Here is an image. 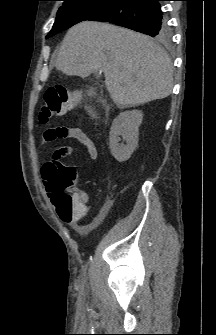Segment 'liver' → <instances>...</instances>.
I'll list each match as a JSON object with an SVG mask.
<instances>
[{"instance_id":"6515ba94","label":"liver","mask_w":216,"mask_h":335,"mask_svg":"<svg viewBox=\"0 0 216 335\" xmlns=\"http://www.w3.org/2000/svg\"><path fill=\"white\" fill-rule=\"evenodd\" d=\"M55 66L68 76L105 75L119 108L166 98L173 67L163 49L147 36L109 23L84 21L65 35Z\"/></svg>"}]
</instances>
